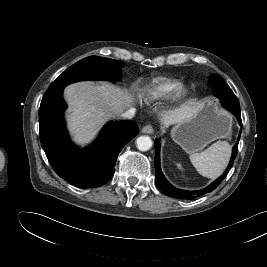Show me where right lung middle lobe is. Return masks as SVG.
<instances>
[{
  "instance_id": "obj_1",
  "label": "right lung middle lobe",
  "mask_w": 267,
  "mask_h": 267,
  "mask_svg": "<svg viewBox=\"0 0 267 267\" xmlns=\"http://www.w3.org/2000/svg\"><path fill=\"white\" fill-rule=\"evenodd\" d=\"M124 64L118 60L90 56L65 70L48 88L47 97L70 83L82 80H109L116 82L121 78L120 69Z\"/></svg>"
}]
</instances>
